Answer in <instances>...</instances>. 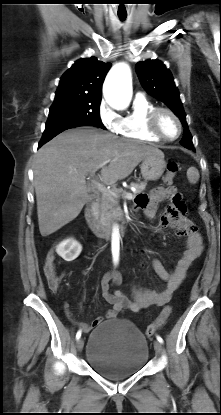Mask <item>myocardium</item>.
Instances as JSON below:
<instances>
[{
	"label": "myocardium",
	"mask_w": 221,
	"mask_h": 415,
	"mask_svg": "<svg viewBox=\"0 0 221 415\" xmlns=\"http://www.w3.org/2000/svg\"><path fill=\"white\" fill-rule=\"evenodd\" d=\"M162 113L171 115L178 125V133L175 137H167L159 128V118ZM147 128L151 134L159 138L162 141L171 142L178 139L182 133L183 126L179 116L170 108L167 107H155L152 109L147 116Z\"/></svg>",
	"instance_id": "f54148a6"
}]
</instances>
